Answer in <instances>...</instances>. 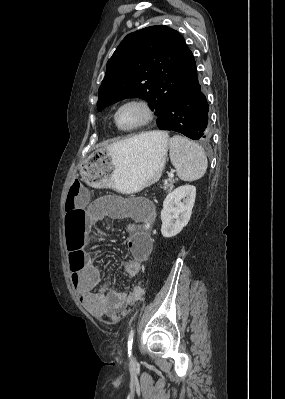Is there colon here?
Wrapping results in <instances>:
<instances>
[{"label":"colon","mask_w":285,"mask_h":399,"mask_svg":"<svg viewBox=\"0 0 285 399\" xmlns=\"http://www.w3.org/2000/svg\"><path fill=\"white\" fill-rule=\"evenodd\" d=\"M83 189L84 185L79 180H75L70 188L69 196L65 204L67 219L70 225L81 223L86 218L85 212L76 202V198L82 193ZM66 238L68 250L70 252V269L77 272L85 265V249L82 244L77 241L75 235L71 231L67 232ZM141 290V287H137L134 293L137 295ZM129 309L130 305H127L119 316H125Z\"/></svg>","instance_id":"5ec220e1"}]
</instances>
